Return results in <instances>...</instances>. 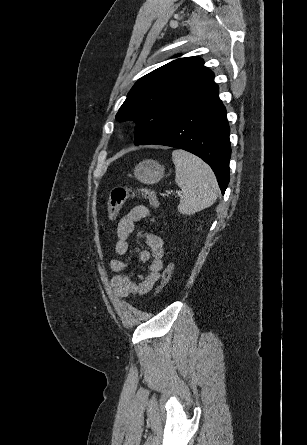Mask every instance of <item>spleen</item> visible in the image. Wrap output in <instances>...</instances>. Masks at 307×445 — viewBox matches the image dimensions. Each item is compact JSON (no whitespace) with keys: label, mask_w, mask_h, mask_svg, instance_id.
I'll use <instances>...</instances> for the list:
<instances>
[{"label":"spleen","mask_w":307,"mask_h":445,"mask_svg":"<svg viewBox=\"0 0 307 445\" xmlns=\"http://www.w3.org/2000/svg\"><path fill=\"white\" fill-rule=\"evenodd\" d=\"M172 158L176 168L175 180L182 192L179 212L194 214L211 206L218 196L219 186L209 164L186 150H173Z\"/></svg>","instance_id":"1"}]
</instances>
